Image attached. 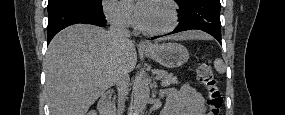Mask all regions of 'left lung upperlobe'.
Returning a JSON list of instances; mask_svg holds the SVG:
<instances>
[{
	"label": "left lung upper lobe",
	"instance_id": "obj_1",
	"mask_svg": "<svg viewBox=\"0 0 285 115\" xmlns=\"http://www.w3.org/2000/svg\"><path fill=\"white\" fill-rule=\"evenodd\" d=\"M177 2V4L179 5V7H181L183 4H185L186 2H188L189 0H175Z\"/></svg>",
	"mask_w": 285,
	"mask_h": 115
}]
</instances>
